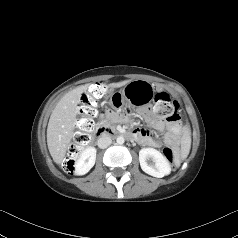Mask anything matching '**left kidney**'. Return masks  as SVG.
<instances>
[{
	"mask_svg": "<svg viewBox=\"0 0 238 238\" xmlns=\"http://www.w3.org/2000/svg\"><path fill=\"white\" fill-rule=\"evenodd\" d=\"M151 160V163L147 161ZM141 169L154 177L162 178L170 174L171 167L166 158L154 148H143L139 151Z\"/></svg>",
	"mask_w": 238,
	"mask_h": 238,
	"instance_id": "obj_1",
	"label": "left kidney"
}]
</instances>
